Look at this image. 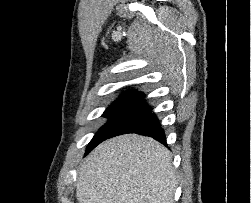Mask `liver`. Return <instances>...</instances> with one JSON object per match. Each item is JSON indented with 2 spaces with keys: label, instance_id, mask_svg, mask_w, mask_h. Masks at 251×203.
I'll return each mask as SVG.
<instances>
[{
  "label": "liver",
  "instance_id": "6515ba94",
  "mask_svg": "<svg viewBox=\"0 0 251 203\" xmlns=\"http://www.w3.org/2000/svg\"><path fill=\"white\" fill-rule=\"evenodd\" d=\"M170 152L152 138L127 134L97 146L78 170V203H173Z\"/></svg>",
  "mask_w": 251,
  "mask_h": 203
}]
</instances>
